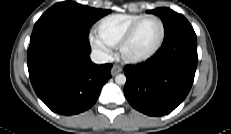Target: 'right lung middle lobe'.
<instances>
[{
  "mask_svg": "<svg viewBox=\"0 0 231 134\" xmlns=\"http://www.w3.org/2000/svg\"><path fill=\"white\" fill-rule=\"evenodd\" d=\"M111 10L94 9L75 2H59L36 22L32 35L50 26L65 27L88 36L90 27Z\"/></svg>",
  "mask_w": 231,
  "mask_h": 134,
  "instance_id": "right-lung-middle-lobe-1",
  "label": "right lung middle lobe"
}]
</instances>
